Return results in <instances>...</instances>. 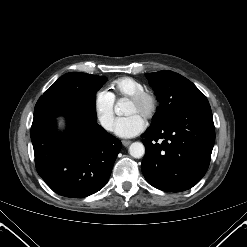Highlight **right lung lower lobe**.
I'll use <instances>...</instances> for the list:
<instances>
[{"label":"right lung lower lobe","instance_id":"1","mask_svg":"<svg viewBox=\"0 0 247 247\" xmlns=\"http://www.w3.org/2000/svg\"><path fill=\"white\" fill-rule=\"evenodd\" d=\"M68 126L58 133L55 118ZM95 98L44 94L36 103L31 127L38 174L57 194L86 197L102 189L121 150V141L96 123Z\"/></svg>","mask_w":247,"mask_h":247}]
</instances>
